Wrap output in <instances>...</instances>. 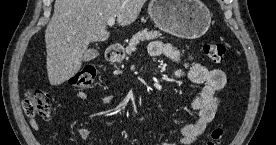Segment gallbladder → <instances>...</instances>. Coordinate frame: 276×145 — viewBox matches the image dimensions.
<instances>
[{
	"label": "gallbladder",
	"mask_w": 276,
	"mask_h": 145,
	"mask_svg": "<svg viewBox=\"0 0 276 145\" xmlns=\"http://www.w3.org/2000/svg\"><path fill=\"white\" fill-rule=\"evenodd\" d=\"M99 55L98 51L95 49H88L83 55V60L84 61H91L95 59Z\"/></svg>",
	"instance_id": "obj_1"
}]
</instances>
